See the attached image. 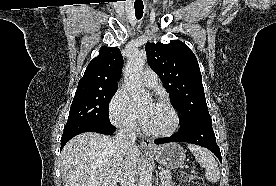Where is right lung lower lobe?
Segmentation results:
<instances>
[{
	"instance_id": "obj_1",
	"label": "right lung lower lobe",
	"mask_w": 276,
	"mask_h": 186,
	"mask_svg": "<svg viewBox=\"0 0 276 186\" xmlns=\"http://www.w3.org/2000/svg\"><path fill=\"white\" fill-rule=\"evenodd\" d=\"M116 128L111 123H93L81 122L68 125L64 127V132L61 139V149L64 145L74 136L84 132H97L101 134L111 135L115 132Z\"/></svg>"
}]
</instances>
